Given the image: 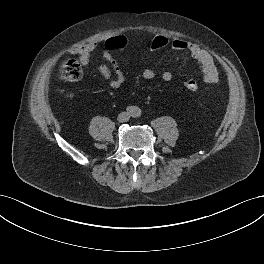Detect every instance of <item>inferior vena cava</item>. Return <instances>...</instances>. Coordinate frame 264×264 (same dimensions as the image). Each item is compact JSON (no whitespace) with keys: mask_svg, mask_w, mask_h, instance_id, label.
I'll return each mask as SVG.
<instances>
[{"mask_svg":"<svg viewBox=\"0 0 264 264\" xmlns=\"http://www.w3.org/2000/svg\"><path fill=\"white\" fill-rule=\"evenodd\" d=\"M129 120V114L127 112H122L118 116V121L119 122H126Z\"/></svg>","mask_w":264,"mask_h":264,"instance_id":"obj_1","label":"inferior vena cava"}]
</instances>
